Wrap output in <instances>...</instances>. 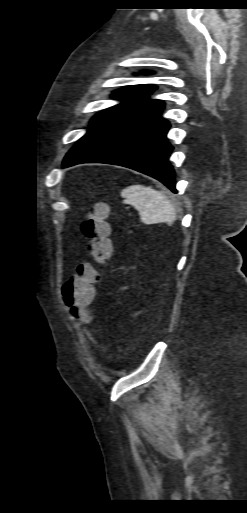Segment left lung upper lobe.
<instances>
[{
  "mask_svg": "<svg viewBox=\"0 0 247 513\" xmlns=\"http://www.w3.org/2000/svg\"><path fill=\"white\" fill-rule=\"evenodd\" d=\"M150 73V72H147ZM157 87L152 85H136V86H128L123 89L117 90L113 93V97L120 100L121 103L118 105H115L113 107H110L99 114H97L92 121L96 120L98 117L115 110L121 106L127 105L129 103H132L136 101L137 99L153 92L156 90Z\"/></svg>",
  "mask_w": 247,
  "mask_h": 513,
  "instance_id": "1",
  "label": "left lung upper lobe"
}]
</instances>
